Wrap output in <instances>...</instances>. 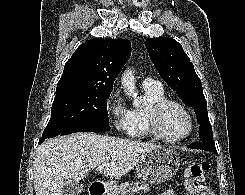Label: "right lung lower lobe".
<instances>
[{
    "label": "right lung lower lobe",
    "mask_w": 245,
    "mask_h": 195,
    "mask_svg": "<svg viewBox=\"0 0 245 195\" xmlns=\"http://www.w3.org/2000/svg\"><path fill=\"white\" fill-rule=\"evenodd\" d=\"M109 129H110L109 124L90 123V124H85V125L76 127L61 135H67V134L74 133V132H101V131H107ZM42 142L43 141H40L39 143H42Z\"/></svg>",
    "instance_id": "1"
}]
</instances>
